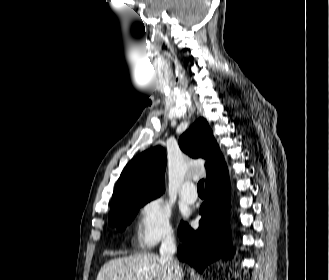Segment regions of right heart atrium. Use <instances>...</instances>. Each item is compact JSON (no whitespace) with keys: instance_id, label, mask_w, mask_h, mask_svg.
<instances>
[{"instance_id":"obj_1","label":"right heart atrium","mask_w":329,"mask_h":280,"mask_svg":"<svg viewBox=\"0 0 329 280\" xmlns=\"http://www.w3.org/2000/svg\"><path fill=\"white\" fill-rule=\"evenodd\" d=\"M172 212L161 197L145 201L138 210L137 241L146 249L173 237Z\"/></svg>"}]
</instances>
